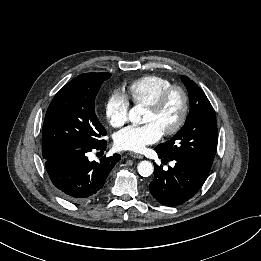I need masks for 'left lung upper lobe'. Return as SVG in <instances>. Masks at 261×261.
<instances>
[{"mask_svg": "<svg viewBox=\"0 0 261 261\" xmlns=\"http://www.w3.org/2000/svg\"><path fill=\"white\" fill-rule=\"evenodd\" d=\"M181 79L189 93V115L183 128L155 150L167 158H180L195 168L210 172L218 138L215 113L197 84L186 76Z\"/></svg>", "mask_w": 261, "mask_h": 261, "instance_id": "left-lung-upper-lobe-1", "label": "left lung upper lobe"}]
</instances>
